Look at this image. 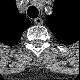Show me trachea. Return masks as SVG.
I'll return each instance as SVG.
<instances>
[{"mask_svg":"<svg viewBox=\"0 0 80 80\" xmlns=\"http://www.w3.org/2000/svg\"><path fill=\"white\" fill-rule=\"evenodd\" d=\"M27 14L31 18H36L39 14V11L35 6H30L27 10Z\"/></svg>","mask_w":80,"mask_h":80,"instance_id":"1","label":"trachea"}]
</instances>
